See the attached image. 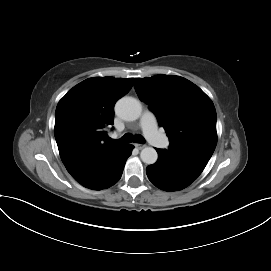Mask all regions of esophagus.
Returning a JSON list of instances; mask_svg holds the SVG:
<instances>
[{
  "label": "esophagus",
  "instance_id": "esophagus-1",
  "mask_svg": "<svg viewBox=\"0 0 271 271\" xmlns=\"http://www.w3.org/2000/svg\"><path fill=\"white\" fill-rule=\"evenodd\" d=\"M145 146H146L145 144H141V143L135 144V147L138 148L139 150L145 148Z\"/></svg>",
  "mask_w": 271,
  "mask_h": 271
}]
</instances>
